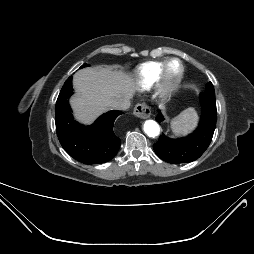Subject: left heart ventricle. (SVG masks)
Returning a JSON list of instances; mask_svg holds the SVG:
<instances>
[{"instance_id":"left-heart-ventricle-1","label":"left heart ventricle","mask_w":254,"mask_h":254,"mask_svg":"<svg viewBox=\"0 0 254 254\" xmlns=\"http://www.w3.org/2000/svg\"><path fill=\"white\" fill-rule=\"evenodd\" d=\"M178 70H179V65L177 63H173L171 64L170 68H169V75L171 77H174L177 75L178 73Z\"/></svg>"}]
</instances>
